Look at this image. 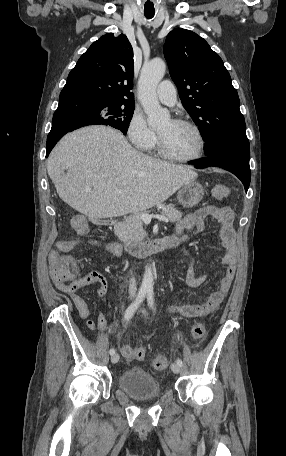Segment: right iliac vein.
I'll list each match as a JSON object with an SVG mask.
<instances>
[{
	"label": "right iliac vein",
	"instance_id": "63e3f726",
	"mask_svg": "<svg viewBox=\"0 0 286 456\" xmlns=\"http://www.w3.org/2000/svg\"><path fill=\"white\" fill-rule=\"evenodd\" d=\"M118 360H119V355H118V354L112 355V357H111V362H112L113 364L117 363Z\"/></svg>",
	"mask_w": 286,
	"mask_h": 456
}]
</instances>
